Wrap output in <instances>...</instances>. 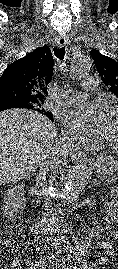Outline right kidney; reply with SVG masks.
<instances>
[{"mask_svg": "<svg viewBox=\"0 0 118 269\" xmlns=\"http://www.w3.org/2000/svg\"><path fill=\"white\" fill-rule=\"evenodd\" d=\"M23 185L10 187L3 200L2 211L4 216L11 220L19 212H22L26 205V198L23 192Z\"/></svg>", "mask_w": 118, "mask_h": 269, "instance_id": "ca27d5eb", "label": "right kidney"}]
</instances>
